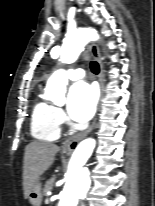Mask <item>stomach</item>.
<instances>
[{
    "instance_id": "obj_1",
    "label": "stomach",
    "mask_w": 155,
    "mask_h": 206,
    "mask_svg": "<svg viewBox=\"0 0 155 206\" xmlns=\"http://www.w3.org/2000/svg\"><path fill=\"white\" fill-rule=\"evenodd\" d=\"M41 183L36 181L31 188V191L28 195V199L33 206H40L42 202V191Z\"/></svg>"
}]
</instances>
